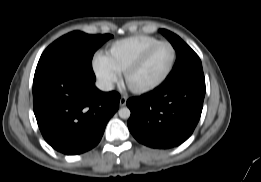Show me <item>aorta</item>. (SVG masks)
I'll list each match as a JSON object with an SVG mask.
<instances>
[{
    "instance_id": "1",
    "label": "aorta",
    "mask_w": 261,
    "mask_h": 182,
    "mask_svg": "<svg viewBox=\"0 0 261 182\" xmlns=\"http://www.w3.org/2000/svg\"><path fill=\"white\" fill-rule=\"evenodd\" d=\"M118 113H119L120 118H122V119H128L131 115L129 108H127V107H123V108L119 109Z\"/></svg>"
}]
</instances>
